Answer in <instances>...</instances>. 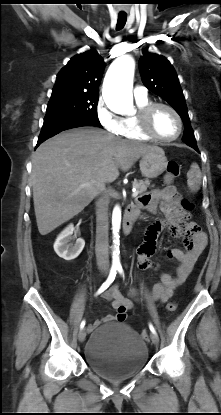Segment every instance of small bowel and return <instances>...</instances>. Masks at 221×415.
<instances>
[{
    "label": "small bowel",
    "instance_id": "obj_1",
    "mask_svg": "<svg viewBox=\"0 0 221 415\" xmlns=\"http://www.w3.org/2000/svg\"><path fill=\"white\" fill-rule=\"evenodd\" d=\"M180 199V194L174 186H166L141 195L135 205L138 210L145 209L151 213H155L159 208L165 214L164 220L152 223L145 232L144 240L137 249L139 269L156 268L150 258L155 253L157 240L165 228L172 236L184 239L185 251L180 249L169 251V256L178 262L175 273H161L160 282L155 284L151 291L152 299L163 303L167 302L172 297L174 290L187 279L207 244L206 235L199 231L198 226L187 223L190 211L188 207H184V203ZM140 293L139 289L133 288L131 297H125L120 292L118 285L104 290L102 297L111 302L116 313L105 315L94 321L88 328L91 330L114 320L124 321L126 311L134 307V301L138 299Z\"/></svg>",
    "mask_w": 221,
    "mask_h": 415
}]
</instances>
